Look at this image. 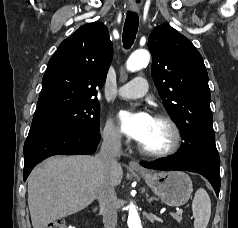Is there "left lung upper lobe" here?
Returning a JSON list of instances; mask_svg holds the SVG:
<instances>
[{
    "label": "left lung upper lobe",
    "mask_w": 238,
    "mask_h": 228,
    "mask_svg": "<svg viewBox=\"0 0 238 228\" xmlns=\"http://www.w3.org/2000/svg\"><path fill=\"white\" fill-rule=\"evenodd\" d=\"M148 48L155 86L184 140L177 156L184 161L216 148L208 74L201 54L167 24L152 30Z\"/></svg>",
    "instance_id": "1"
}]
</instances>
